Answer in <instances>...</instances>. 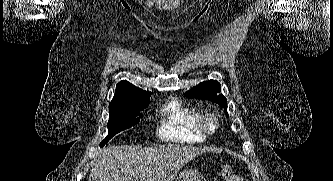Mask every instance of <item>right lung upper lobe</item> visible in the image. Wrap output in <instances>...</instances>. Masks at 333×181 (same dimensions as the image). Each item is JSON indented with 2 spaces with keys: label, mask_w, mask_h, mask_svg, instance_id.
I'll use <instances>...</instances> for the list:
<instances>
[{
  "label": "right lung upper lobe",
  "mask_w": 333,
  "mask_h": 181,
  "mask_svg": "<svg viewBox=\"0 0 333 181\" xmlns=\"http://www.w3.org/2000/svg\"><path fill=\"white\" fill-rule=\"evenodd\" d=\"M151 92L135 87L128 81H121L116 86V92L109 104V112L121 109L148 105Z\"/></svg>",
  "instance_id": "1"
}]
</instances>
